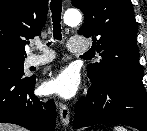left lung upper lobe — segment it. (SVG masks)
Returning <instances> with one entry per match:
<instances>
[{
	"instance_id": "5c2ea615",
	"label": "left lung upper lobe",
	"mask_w": 147,
	"mask_h": 131,
	"mask_svg": "<svg viewBox=\"0 0 147 131\" xmlns=\"http://www.w3.org/2000/svg\"><path fill=\"white\" fill-rule=\"evenodd\" d=\"M85 15L78 33L93 37L100 62L88 66L91 82L124 79L143 85L136 43L137 23L130 0H72Z\"/></svg>"
}]
</instances>
